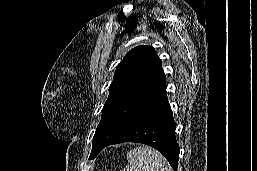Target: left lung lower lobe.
<instances>
[{
	"label": "left lung lower lobe",
	"mask_w": 257,
	"mask_h": 171,
	"mask_svg": "<svg viewBox=\"0 0 257 171\" xmlns=\"http://www.w3.org/2000/svg\"><path fill=\"white\" fill-rule=\"evenodd\" d=\"M176 123L167 100L166 84L146 104L131 122L112 140L105 142L90 154H97L111 144L123 142L144 143L159 150L177 171L180 149L175 137Z\"/></svg>",
	"instance_id": "left-lung-lower-lobe-1"
}]
</instances>
